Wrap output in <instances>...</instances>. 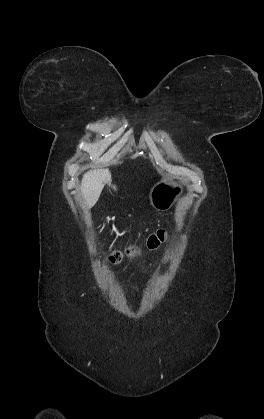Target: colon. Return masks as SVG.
I'll return each instance as SVG.
<instances>
[{
  "mask_svg": "<svg viewBox=\"0 0 264 419\" xmlns=\"http://www.w3.org/2000/svg\"><path fill=\"white\" fill-rule=\"evenodd\" d=\"M165 239H166L165 230L159 229L156 232H153L152 234L149 235L147 239V247L150 250H155L158 247H160V245L165 241ZM127 253L130 255H135L137 253V250L134 248H131L127 251ZM121 259H122V252L120 251H114L109 256V260L113 264L120 262Z\"/></svg>",
  "mask_w": 264,
  "mask_h": 419,
  "instance_id": "obj_1",
  "label": "colon"
}]
</instances>
